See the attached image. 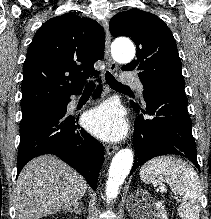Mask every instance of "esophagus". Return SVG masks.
<instances>
[{"instance_id": "34e87169", "label": "esophagus", "mask_w": 211, "mask_h": 219, "mask_svg": "<svg viewBox=\"0 0 211 219\" xmlns=\"http://www.w3.org/2000/svg\"><path fill=\"white\" fill-rule=\"evenodd\" d=\"M104 30H105V58L108 63L109 70L111 72H116L117 71V63L112 59L111 54H110V44H111V35L109 32V27H108V21L104 19L102 21ZM118 150V147L115 145H108L106 148L107 155L111 156Z\"/></svg>"}]
</instances>
